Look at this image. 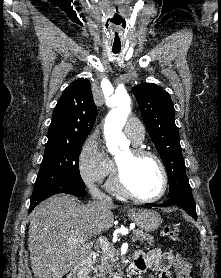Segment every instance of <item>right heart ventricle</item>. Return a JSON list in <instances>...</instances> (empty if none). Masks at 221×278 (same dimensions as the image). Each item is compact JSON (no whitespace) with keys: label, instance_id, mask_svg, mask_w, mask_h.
<instances>
[{"label":"right heart ventricle","instance_id":"obj_1","mask_svg":"<svg viewBox=\"0 0 221 278\" xmlns=\"http://www.w3.org/2000/svg\"><path fill=\"white\" fill-rule=\"evenodd\" d=\"M109 188L114 193H119V190H118V188L116 187V184H115V178L114 177H112L109 181Z\"/></svg>","mask_w":221,"mask_h":278}]
</instances>
